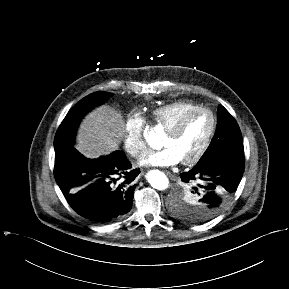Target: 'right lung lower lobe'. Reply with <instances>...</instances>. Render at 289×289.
<instances>
[{
  "label": "right lung lower lobe",
  "mask_w": 289,
  "mask_h": 289,
  "mask_svg": "<svg viewBox=\"0 0 289 289\" xmlns=\"http://www.w3.org/2000/svg\"><path fill=\"white\" fill-rule=\"evenodd\" d=\"M130 168L119 150L91 160L70 145L55 154L54 176L76 213L105 224L123 218L132 208L136 187L132 182L139 170Z\"/></svg>",
  "instance_id": "obj_1"
}]
</instances>
